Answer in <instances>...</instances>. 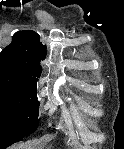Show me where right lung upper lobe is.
Here are the masks:
<instances>
[{
    "mask_svg": "<svg viewBox=\"0 0 124 149\" xmlns=\"http://www.w3.org/2000/svg\"><path fill=\"white\" fill-rule=\"evenodd\" d=\"M46 56V46L31 30L17 32L12 43L0 53V76L25 87H37L41 75L40 61Z\"/></svg>",
    "mask_w": 124,
    "mask_h": 149,
    "instance_id": "1",
    "label": "right lung upper lobe"
}]
</instances>
